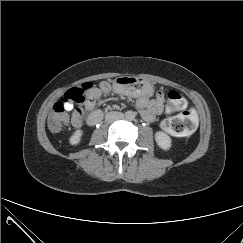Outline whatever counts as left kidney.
Wrapping results in <instances>:
<instances>
[{
  "label": "left kidney",
  "mask_w": 243,
  "mask_h": 243,
  "mask_svg": "<svg viewBox=\"0 0 243 243\" xmlns=\"http://www.w3.org/2000/svg\"><path fill=\"white\" fill-rule=\"evenodd\" d=\"M155 140L157 145L165 150L168 151L171 148V138L169 135H167L166 133L162 132V131H158L155 133Z\"/></svg>",
  "instance_id": "1"
}]
</instances>
